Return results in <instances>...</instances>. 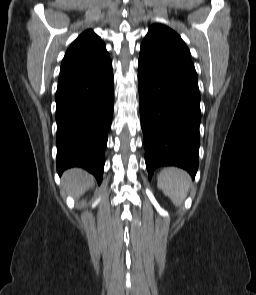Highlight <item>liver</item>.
<instances>
[{
    "label": "liver",
    "mask_w": 256,
    "mask_h": 295,
    "mask_svg": "<svg viewBox=\"0 0 256 295\" xmlns=\"http://www.w3.org/2000/svg\"><path fill=\"white\" fill-rule=\"evenodd\" d=\"M93 184V177L80 168H72L62 176L63 191L78 197L85 193Z\"/></svg>",
    "instance_id": "1"
}]
</instances>
